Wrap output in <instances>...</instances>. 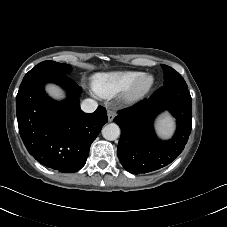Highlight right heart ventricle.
<instances>
[{
    "mask_svg": "<svg viewBox=\"0 0 227 227\" xmlns=\"http://www.w3.org/2000/svg\"><path fill=\"white\" fill-rule=\"evenodd\" d=\"M140 71L99 73L93 77L94 89L103 97H111L128 90L142 75Z\"/></svg>",
    "mask_w": 227,
    "mask_h": 227,
    "instance_id": "obj_1",
    "label": "right heart ventricle"
}]
</instances>
